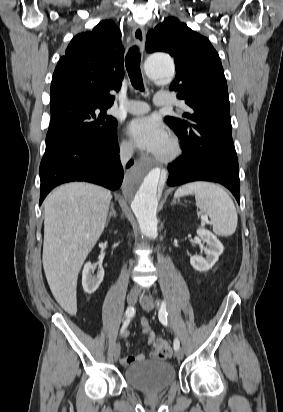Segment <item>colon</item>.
Returning <instances> with one entry per match:
<instances>
[{
  "mask_svg": "<svg viewBox=\"0 0 283 412\" xmlns=\"http://www.w3.org/2000/svg\"><path fill=\"white\" fill-rule=\"evenodd\" d=\"M153 347L155 356L158 358H166L171 355V346L167 341L155 340Z\"/></svg>",
  "mask_w": 283,
  "mask_h": 412,
  "instance_id": "5ec220e1",
  "label": "colon"
}]
</instances>
